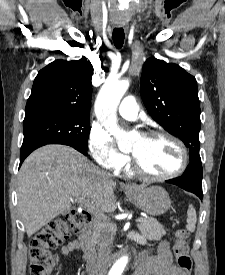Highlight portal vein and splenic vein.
Masks as SVG:
<instances>
[{"label":"portal vein and splenic vein","mask_w":225,"mask_h":275,"mask_svg":"<svg viewBox=\"0 0 225 275\" xmlns=\"http://www.w3.org/2000/svg\"><path fill=\"white\" fill-rule=\"evenodd\" d=\"M83 206L85 208H87L88 210H91L92 208H95V206L92 203H90L89 200H84ZM136 221L141 222V221H144V219L143 218H138Z\"/></svg>","instance_id":"obj_1"}]
</instances>
